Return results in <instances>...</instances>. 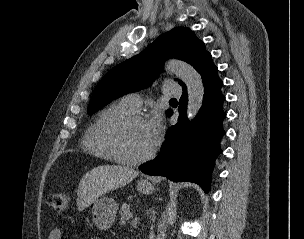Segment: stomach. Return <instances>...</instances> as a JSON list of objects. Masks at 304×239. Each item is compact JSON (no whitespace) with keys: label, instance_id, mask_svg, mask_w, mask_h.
Returning a JSON list of instances; mask_svg holds the SVG:
<instances>
[{"label":"stomach","instance_id":"obj_1","mask_svg":"<svg viewBox=\"0 0 304 239\" xmlns=\"http://www.w3.org/2000/svg\"><path fill=\"white\" fill-rule=\"evenodd\" d=\"M137 189L143 194H150L154 188L147 180H141L138 182ZM117 210L118 204L115 200L108 197L99 198L92 207L93 222L100 230H107L112 226Z\"/></svg>","mask_w":304,"mask_h":239}]
</instances>
